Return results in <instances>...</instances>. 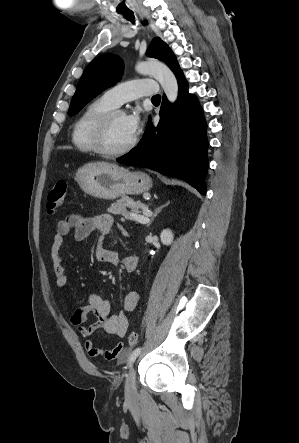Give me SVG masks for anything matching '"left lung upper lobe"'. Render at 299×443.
<instances>
[{"mask_svg": "<svg viewBox=\"0 0 299 443\" xmlns=\"http://www.w3.org/2000/svg\"><path fill=\"white\" fill-rule=\"evenodd\" d=\"M147 55L164 61L174 74L180 71L175 55L159 38L152 41ZM122 73L123 62L118 56L105 54L95 58L86 67L78 82L68 115H75L94 97L108 87L115 85L121 79Z\"/></svg>", "mask_w": 299, "mask_h": 443, "instance_id": "obj_1", "label": "left lung upper lobe"}]
</instances>
